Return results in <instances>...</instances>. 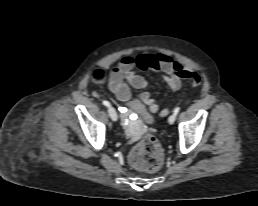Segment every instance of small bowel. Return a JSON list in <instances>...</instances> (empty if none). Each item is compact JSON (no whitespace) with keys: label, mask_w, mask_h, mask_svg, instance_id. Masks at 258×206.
<instances>
[{"label":"small bowel","mask_w":258,"mask_h":206,"mask_svg":"<svg viewBox=\"0 0 258 206\" xmlns=\"http://www.w3.org/2000/svg\"><path fill=\"white\" fill-rule=\"evenodd\" d=\"M136 70L154 71L162 76L173 91L181 88L183 80H190L194 86L200 81L197 72L162 53L143 54L137 57L124 56L108 76V88L119 100L126 101L130 97V86L136 89L148 86L147 80L137 74ZM141 99L150 106L151 112L159 110V105L151 98L149 92H143ZM167 112L168 110L164 109L161 115H166Z\"/></svg>","instance_id":"small-bowel-1"}]
</instances>
